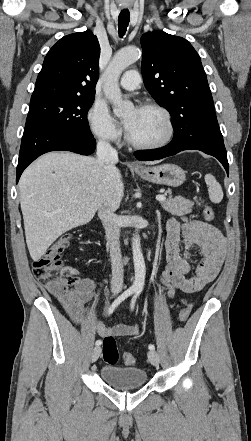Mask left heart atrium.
<instances>
[{"mask_svg":"<svg viewBox=\"0 0 251 441\" xmlns=\"http://www.w3.org/2000/svg\"><path fill=\"white\" fill-rule=\"evenodd\" d=\"M131 123H132V119H126V120H125V123H124V124H125V126H126L127 129H129V127L131 126Z\"/></svg>","mask_w":251,"mask_h":441,"instance_id":"obj_1","label":"left heart atrium"}]
</instances>
